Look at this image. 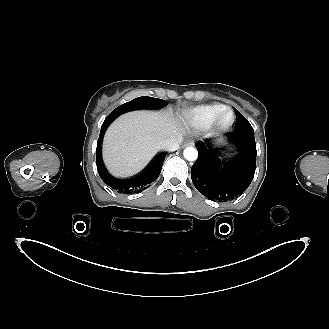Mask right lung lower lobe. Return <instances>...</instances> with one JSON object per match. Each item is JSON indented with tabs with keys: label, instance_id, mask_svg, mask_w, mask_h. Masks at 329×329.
Returning <instances> with one entry per match:
<instances>
[{
	"label": "right lung lower lobe",
	"instance_id": "obj_1",
	"mask_svg": "<svg viewBox=\"0 0 329 329\" xmlns=\"http://www.w3.org/2000/svg\"><path fill=\"white\" fill-rule=\"evenodd\" d=\"M114 119L106 118L101 126L100 136L97 142V149H96L98 173L101 179L104 181V183H106L108 186L118 191L119 193L130 194L133 192L142 191L147 187H149L150 184L158 178L161 172L162 164L164 162L166 153L162 152L158 154L141 174L137 175L132 179L120 180L111 176L105 169L104 164L102 162L101 144L107 127L111 124V122Z\"/></svg>",
	"mask_w": 329,
	"mask_h": 329
}]
</instances>
